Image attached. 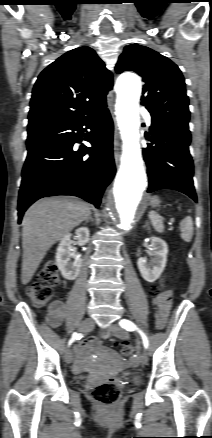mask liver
<instances>
[{
	"mask_svg": "<svg viewBox=\"0 0 212 438\" xmlns=\"http://www.w3.org/2000/svg\"><path fill=\"white\" fill-rule=\"evenodd\" d=\"M90 214V206L75 198H43L23 217L21 281L32 279L47 251Z\"/></svg>",
	"mask_w": 212,
	"mask_h": 438,
	"instance_id": "liver-1",
	"label": "liver"
}]
</instances>
